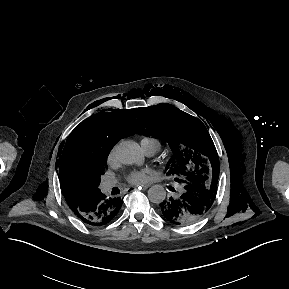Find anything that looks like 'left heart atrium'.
Here are the masks:
<instances>
[{
    "label": "left heart atrium",
    "mask_w": 289,
    "mask_h": 289,
    "mask_svg": "<svg viewBox=\"0 0 289 289\" xmlns=\"http://www.w3.org/2000/svg\"><path fill=\"white\" fill-rule=\"evenodd\" d=\"M152 174L153 172L150 169L134 171L128 176V181L133 184H143L151 179Z\"/></svg>",
    "instance_id": "left-heart-atrium-1"
}]
</instances>
